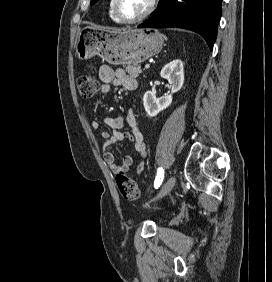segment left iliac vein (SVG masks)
Listing matches in <instances>:
<instances>
[{"label":"left iliac vein","instance_id":"1","mask_svg":"<svg viewBox=\"0 0 272 282\" xmlns=\"http://www.w3.org/2000/svg\"><path fill=\"white\" fill-rule=\"evenodd\" d=\"M176 183V178L175 176H171L162 186L161 190L159 191V193L157 194V196L155 197L154 200H158L162 197H164L165 195H167L175 186Z\"/></svg>","mask_w":272,"mask_h":282}]
</instances>
